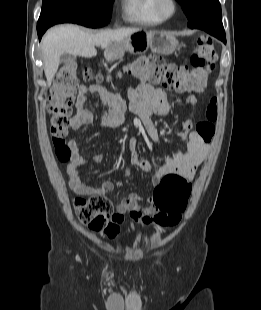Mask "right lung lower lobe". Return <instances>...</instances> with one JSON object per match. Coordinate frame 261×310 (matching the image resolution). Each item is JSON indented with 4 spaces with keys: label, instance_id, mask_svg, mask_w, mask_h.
I'll list each match as a JSON object with an SVG mask.
<instances>
[{
    "label": "right lung lower lobe",
    "instance_id": "1",
    "mask_svg": "<svg viewBox=\"0 0 261 310\" xmlns=\"http://www.w3.org/2000/svg\"><path fill=\"white\" fill-rule=\"evenodd\" d=\"M47 29H48V27H40V28H37L39 40L42 38V35L45 33V31H46Z\"/></svg>",
    "mask_w": 261,
    "mask_h": 310
}]
</instances>
